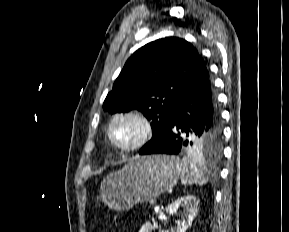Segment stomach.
Returning a JSON list of instances; mask_svg holds the SVG:
<instances>
[{"mask_svg": "<svg viewBox=\"0 0 289 232\" xmlns=\"http://www.w3.org/2000/svg\"><path fill=\"white\" fill-rule=\"evenodd\" d=\"M179 165L171 156H136L103 180L100 199L114 210H129L172 189L180 175Z\"/></svg>", "mask_w": 289, "mask_h": 232, "instance_id": "obj_1", "label": "stomach"}]
</instances>
